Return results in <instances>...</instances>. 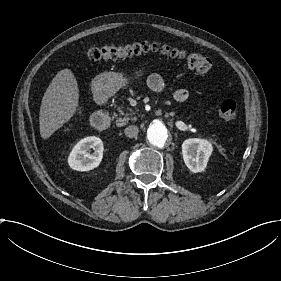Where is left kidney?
<instances>
[{
  "label": "left kidney",
  "mask_w": 281,
  "mask_h": 281,
  "mask_svg": "<svg viewBox=\"0 0 281 281\" xmlns=\"http://www.w3.org/2000/svg\"><path fill=\"white\" fill-rule=\"evenodd\" d=\"M212 151V144L205 139L190 138L182 144L185 165L193 173L205 170Z\"/></svg>",
  "instance_id": "left-kidney-1"
}]
</instances>
